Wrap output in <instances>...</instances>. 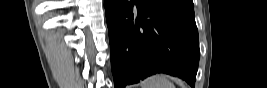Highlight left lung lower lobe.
<instances>
[{
    "instance_id": "left-lung-lower-lobe-1",
    "label": "left lung lower lobe",
    "mask_w": 267,
    "mask_h": 88,
    "mask_svg": "<svg viewBox=\"0 0 267 88\" xmlns=\"http://www.w3.org/2000/svg\"><path fill=\"white\" fill-rule=\"evenodd\" d=\"M115 88L163 72L195 87L194 9L174 0H104Z\"/></svg>"
}]
</instances>
